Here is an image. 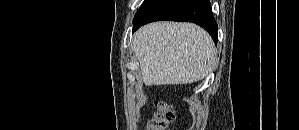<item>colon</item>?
I'll use <instances>...</instances> for the list:
<instances>
[{"label":"colon","instance_id":"5ec220e1","mask_svg":"<svg viewBox=\"0 0 299 130\" xmlns=\"http://www.w3.org/2000/svg\"><path fill=\"white\" fill-rule=\"evenodd\" d=\"M175 120V111L166 102H156V112L148 124V130H168Z\"/></svg>","mask_w":299,"mask_h":130}]
</instances>
